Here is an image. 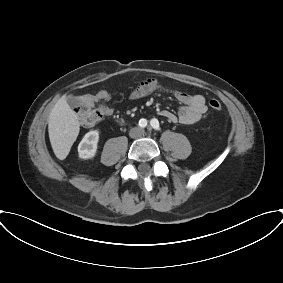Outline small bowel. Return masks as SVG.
<instances>
[{"mask_svg": "<svg viewBox=\"0 0 283 283\" xmlns=\"http://www.w3.org/2000/svg\"><path fill=\"white\" fill-rule=\"evenodd\" d=\"M158 89V85L151 80L145 81L131 91L129 98L131 100H139ZM175 98L182 103L177 113L169 110H161L160 116L173 123H180L184 125H192L197 123L203 114L207 111L205 98L200 94H189L182 91H177L174 94ZM111 96L106 89H100L96 93H88L79 97L80 102L84 106L93 107L99 105V112L101 115L110 116L113 114V109L107 105L102 104L108 102Z\"/></svg>", "mask_w": 283, "mask_h": 283, "instance_id": "obj_1", "label": "small bowel"}]
</instances>
